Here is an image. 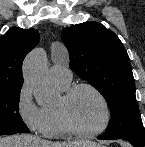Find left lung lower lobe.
Returning <instances> with one entry per match:
<instances>
[{"mask_svg":"<svg viewBox=\"0 0 145 147\" xmlns=\"http://www.w3.org/2000/svg\"><path fill=\"white\" fill-rule=\"evenodd\" d=\"M98 139L109 140V139H114V138H109V137H105L101 135L98 137ZM125 140L129 141L133 145V147H144V142H138V141L131 140V139H125Z\"/></svg>","mask_w":145,"mask_h":147,"instance_id":"1","label":"left lung lower lobe"}]
</instances>
